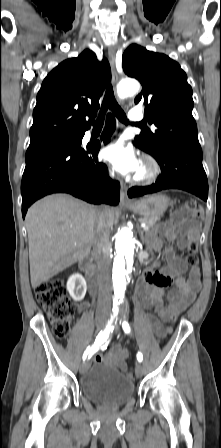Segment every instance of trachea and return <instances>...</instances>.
Returning a JSON list of instances; mask_svg holds the SVG:
<instances>
[{
    "instance_id": "3493384b",
    "label": "trachea",
    "mask_w": 221,
    "mask_h": 448,
    "mask_svg": "<svg viewBox=\"0 0 221 448\" xmlns=\"http://www.w3.org/2000/svg\"><path fill=\"white\" fill-rule=\"evenodd\" d=\"M108 108H110L112 110L113 114L118 118L119 121H121L122 123H125V124H129V121L126 117L125 112L123 111V109L120 107V105L117 103V101L115 99L113 87L111 84H109L106 89L104 99L102 102V107L100 110V114L95 122V125H98V126L103 125L104 115ZM132 125H134V123H132ZM135 125L141 126L140 124H135Z\"/></svg>"
}]
</instances>
